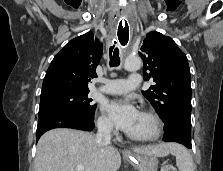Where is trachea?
<instances>
[{
    "instance_id": "obj_1",
    "label": "trachea",
    "mask_w": 223,
    "mask_h": 171,
    "mask_svg": "<svg viewBox=\"0 0 223 171\" xmlns=\"http://www.w3.org/2000/svg\"><path fill=\"white\" fill-rule=\"evenodd\" d=\"M110 66L117 67L120 65L119 49L116 47H110Z\"/></svg>"
}]
</instances>
